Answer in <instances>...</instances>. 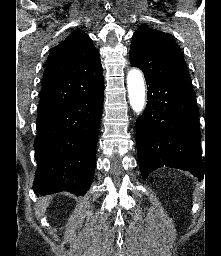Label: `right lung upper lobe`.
I'll return each mask as SVG.
<instances>
[{
    "instance_id": "right-lung-upper-lobe-1",
    "label": "right lung upper lobe",
    "mask_w": 221,
    "mask_h": 256,
    "mask_svg": "<svg viewBox=\"0 0 221 256\" xmlns=\"http://www.w3.org/2000/svg\"><path fill=\"white\" fill-rule=\"evenodd\" d=\"M103 86L99 52L89 36L76 30L48 56L38 112L95 93Z\"/></svg>"
}]
</instances>
